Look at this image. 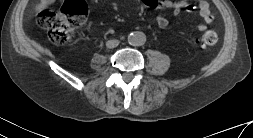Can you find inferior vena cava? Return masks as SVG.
<instances>
[{"mask_svg":"<svg viewBox=\"0 0 253 138\" xmlns=\"http://www.w3.org/2000/svg\"><path fill=\"white\" fill-rule=\"evenodd\" d=\"M120 41L117 39H111L106 42L108 48H115L119 45Z\"/></svg>","mask_w":253,"mask_h":138,"instance_id":"1","label":"inferior vena cava"}]
</instances>
